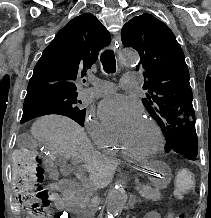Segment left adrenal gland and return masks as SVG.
I'll return each instance as SVG.
<instances>
[{"mask_svg": "<svg viewBox=\"0 0 211 218\" xmlns=\"http://www.w3.org/2000/svg\"><path fill=\"white\" fill-rule=\"evenodd\" d=\"M136 202H140V200H136V196H133V198H131V208H134V204H136Z\"/></svg>", "mask_w": 211, "mask_h": 218, "instance_id": "a2214340", "label": "left adrenal gland"}]
</instances>
